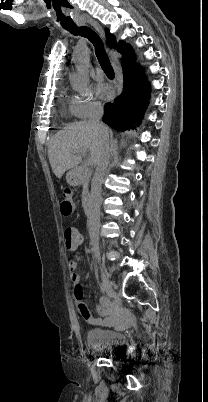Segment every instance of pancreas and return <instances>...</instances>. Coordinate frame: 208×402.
Instances as JSON below:
<instances>
[{"instance_id": "cf45deb5", "label": "pancreas", "mask_w": 208, "mask_h": 402, "mask_svg": "<svg viewBox=\"0 0 208 402\" xmlns=\"http://www.w3.org/2000/svg\"><path fill=\"white\" fill-rule=\"evenodd\" d=\"M81 174H83L85 180H83V196H87L89 194V178H91L92 172L89 170H80Z\"/></svg>"}]
</instances>
